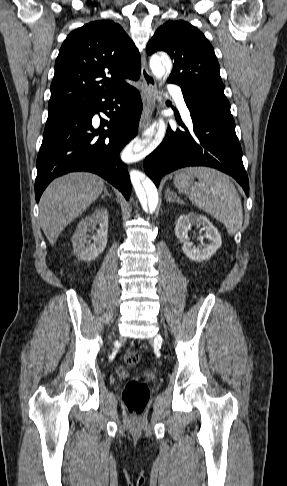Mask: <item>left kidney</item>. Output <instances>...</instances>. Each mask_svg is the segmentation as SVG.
<instances>
[{
	"label": "left kidney",
	"mask_w": 287,
	"mask_h": 486,
	"mask_svg": "<svg viewBox=\"0 0 287 486\" xmlns=\"http://www.w3.org/2000/svg\"><path fill=\"white\" fill-rule=\"evenodd\" d=\"M192 225L202 226L201 230L205 231L204 238L208 243L204 246L195 247L192 242L188 241V231ZM175 235L178 239L183 240V253L194 261H205L209 259L222 245L221 235L212 223L202 215L189 213L180 215L176 222Z\"/></svg>",
	"instance_id": "1"
}]
</instances>
